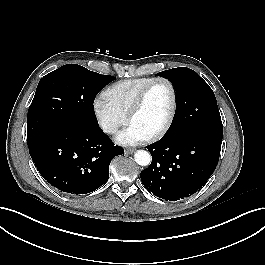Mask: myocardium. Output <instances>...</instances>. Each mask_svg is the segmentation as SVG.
<instances>
[{
  "mask_svg": "<svg viewBox=\"0 0 265 265\" xmlns=\"http://www.w3.org/2000/svg\"><path fill=\"white\" fill-rule=\"evenodd\" d=\"M158 82H164L168 85L170 92H171V108H170V112L168 114V117L164 123V125L155 133H153L152 135L148 136V140L150 141H156L159 140L160 138H162L164 135L167 134V132L170 130L175 116H176V112H177V91L176 88L174 86V84L172 83L171 80H169L166 77H154L150 82H148L139 92V94L137 95L136 99L134 100L128 116H127V120L130 123L131 120L133 119V117L140 111V109L142 108L144 101L146 99V96L149 92V90L152 88V86Z\"/></svg>",
  "mask_w": 265,
  "mask_h": 265,
  "instance_id": "1",
  "label": "myocardium"
}]
</instances>
